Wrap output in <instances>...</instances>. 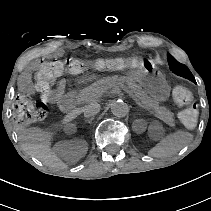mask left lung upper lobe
<instances>
[{
	"label": "left lung upper lobe",
	"instance_id": "1",
	"mask_svg": "<svg viewBox=\"0 0 211 211\" xmlns=\"http://www.w3.org/2000/svg\"><path fill=\"white\" fill-rule=\"evenodd\" d=\"M167 59L169 63L170 70L175 73L176 75H179L181 77H184L192 82H195V78L189 68L179 63L172 55L167 54Z\"/></svg>",
	"mask_w": 211,
	"mask_h": 211
}]
</instances>
